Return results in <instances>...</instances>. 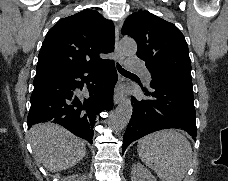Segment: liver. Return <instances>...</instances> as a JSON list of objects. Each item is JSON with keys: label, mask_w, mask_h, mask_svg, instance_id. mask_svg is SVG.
<instances>
[{"label": "liver", "mask_w": 228, "mask_h": 181, "mask_svg": "<svg viewBox=\"0 0 228 181\" xmlns=\"http://www.w3.org/2000/svg\"><path fill=\"white\" fill-rule=\"evenodd\" d=\"M33 157L50 173L70 169L85 157V141L54 123H38L29 131Z\"/></svg>", "instance_id": "obj_1"}]
</instances>
